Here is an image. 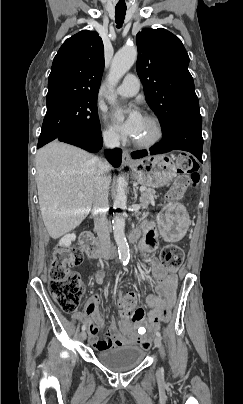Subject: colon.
<instances>
[{
    "mask_svg": "<svg viewBox=\"0 0 243 404\" xmlns=\"http://www.w3.org/2000/svg\"><path fill=\"white\" fill-rule=\"evenodd\" d=\"M178 177L167 193V200L178 201L190 185L198 182V166L188 154L182 153L177 159ZM162 264L169 271H176L183 263L184 252L176 245H166L160 253ZM84 260L83 253L75 247L57 246L49 268V292L59 307L67 312H75L80 303L83 286L79 275L71 268L79 266ZM137 294L126 293L119 300V308L123 317L130 316L137 308ZM170 313L163 316L168 321ZM144 348L150 347V341L142 340Z\"/></svg>",
    "mask_w": 243,
    "mask_h": 404,
    "instance_id": "colon-1",
    "label": "colon"
}]
</instances>
